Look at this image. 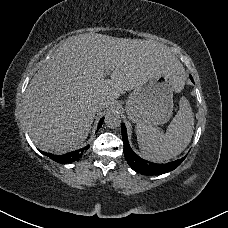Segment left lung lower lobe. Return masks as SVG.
Wrapping results in <instances>:
<instances>
[{"label": "left lung lower lobe", "instance_id": "left-lung-lower-lobe-1", "mask_svg": "<svg viewBox=\"0 0 228 228\" xmlns=\"http://www.w3.org/2000/svg\"><path fill=\"white\" fill-rule=\"evenodd\" d=\"M190 78H191V81L194 82L193 78L192 77ZM121 129H122V139L124 144L125 159L134 170L140 172L142 175H160V174L170 172L175 168H177L186 158L185 156L181 159H178L166 164H156L153 162L146 161L140 158L131 149L127 138L126 127L124 124H122Z\"/></svg>", "mask_w": 228, "mask_h": 228}]
</instances>
